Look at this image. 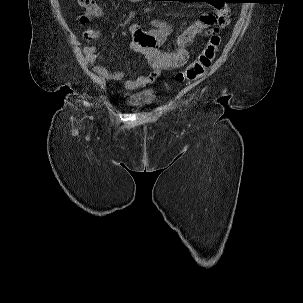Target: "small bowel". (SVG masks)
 <instances>
[{
	"label": "small bowel",
	"mask_w": 303,
	"mask_h": 303,
	"mask_svg": "<svg viewBox=\"0 0 303 303\" xmlns=\"http://www.w3.org/2000/svg\"><path fill=\"white\" fill-rule=\"evenodd\" d=\"M139 2L141 0H129ZM87 14L90 18H98L104 14V9L99 3H92L87 8ZM229 22V8L225 5L218 9L203 13L201 17L187 27L176 39L171 50H162L161 47L166 43L172 32V26L161 19L150 21L151 29L144 31L140 24H131L128 28L133 36L131 48L144 55L149 67L148 73L141 75L133 80L125 81L123 87L126 90H139L151 85L164 69H176L184 66L189 58L186 46L194 38L202 34L207 29L214 27L211 32L218 31L220 27ZM92 37L95 31L90 30ZM150 39V42L145 39ZM84 54L92 69L105 81H118L123 79L124 72L121 70L111 71L106 67L99 65L104 60L98 47L87 46L84 48Z\"/></svg>",
	"instance_id": "obj_1"
}]
</instances>
